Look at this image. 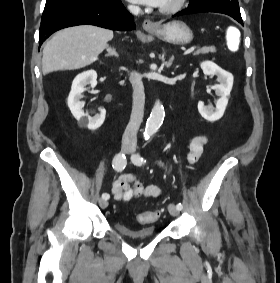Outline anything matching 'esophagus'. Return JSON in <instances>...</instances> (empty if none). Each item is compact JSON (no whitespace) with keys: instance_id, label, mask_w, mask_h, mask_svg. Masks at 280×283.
<instances>
[{"instance_id":"1","label":"esophagus","mask_w":280,"mask_h":283,"mask_svg":"<svg viewBox=\"0 0 280 283\" xmlns=\"http://www.w3.org/2000/svg\"><path fill=\"white\" fill-rule=\"evenodd\" d=\"M143 28L147 31H153V30H156L158 28V25L155 24L154 22H152L151 20L149 19H146L144 20L143 22Z\"/></svg>"}]
</instances>
